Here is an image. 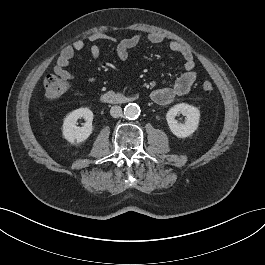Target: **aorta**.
<instances>
[{
  "instance_id": "1",
  "label": "aorta",
  "mask_w": 265,
  "mask_h": 265,
  "mask_svg": "<svg viewBox=\"0 0 265 265\" xmlns=\"http://www.w3.org/2000/svg\"><path fill=\"white\" fill-rule=\"evenodd\" d=\"M140 112V107L135 103H129L124 108V115L128 119H136Z\"/></svg>"
}]
</instances>
